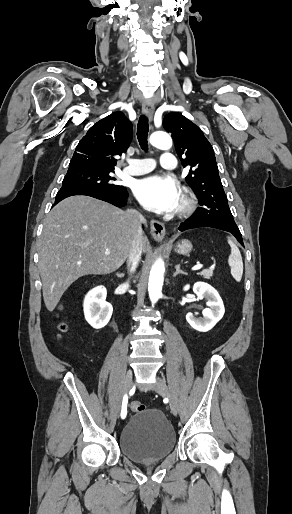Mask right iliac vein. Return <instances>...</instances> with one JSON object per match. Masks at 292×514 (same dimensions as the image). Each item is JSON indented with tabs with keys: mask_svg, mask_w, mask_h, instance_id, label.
<instances>
[{
	"mask_svg": "<svg viewBox=\"0 0 292 514\" xmlns=\"http://www.w3.org/2000/svg\"><path fill=\"white\" fill-rule=\"evenodd\" d=\"M132 387V371L129 369L126 372L125 381H124V388H123V394H127Z\"/></svg>",
	"mask_w": 292,
	"mask_h": 514,
	"instance_id": "1",
	"label": "right iliac vein"
}]
</instances>
